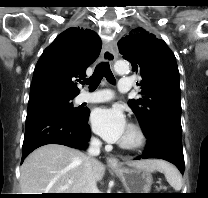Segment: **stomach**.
<instances>
[{
	"label": "stomach",
	"mask_w": 208,
	"mask_h": 198,
	"mask_svg": "<svg viewBox=\"0 0 208 198\" xmlns=\"http://www.w3.org/2000/svg\"><path fill=\"white\" fill-rule=\"evenodd\" d=\"M111 169L119 177L127 193H149L153 183L149 171L141 168L119 167Z\"/></svg>",
	"instance_id": "0dacf381"
}]
</instances>
